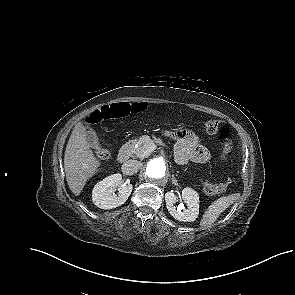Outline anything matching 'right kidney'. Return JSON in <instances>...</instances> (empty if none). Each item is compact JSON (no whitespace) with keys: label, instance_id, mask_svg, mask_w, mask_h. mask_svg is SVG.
Wrapping results in <instances>:
<instances>
[{"label":"right kidney","instance_id":"1","mask_svg":"<svg viewBox=\"0 0 295 295\" xmlns=\"http://www.w3.org/2000/svg\"><path fill=\"white\" fill-rule=\"evenodd\" d=\"M121 174H113L98 182L92 191L93 203L101 209H113L121 206L130 196L133 186L132 184H122ZM118 188L119 195H115L114 191Z\"/></svg>","mask_w":295,"mask_h":295}]
</instances>
